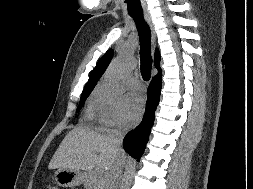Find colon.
<instances>
[{"instance_id":"obj_1","label":"colon","mask_w":253,"mask_h":189,"mask_svg":"<svg viewBox=\"0 0 253 189\" xmlns=\"http://www.w3.org/2000/svg\"><path fill=\"white\" fill-rule=\"evenodd\" d=\"M45 189H58V188L50 184V185H47Z\"/></svg>"}]
</instances>
